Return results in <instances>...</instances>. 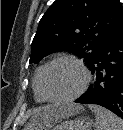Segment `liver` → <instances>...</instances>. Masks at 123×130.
Returning <instances> with one entry per match:
<instances>
[{
  "instance_id": "1",
  "label": "liver",
  "mask_w": 123,
  "mask_h": 130,
  "mask_svg": "<svg viewBox=\"0 0 123 130\" xmlns=\"http://www.w3.org/2000/svg\"><path fill=\"white\" fill-rule=\"evenodd\" d=\"M82 109V106L76 104L62 107L43 106L35 110L27 128L33 130H48L62 119L81 112Z\"/></svg>"
}]
</instances>
